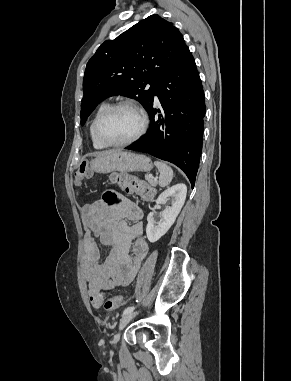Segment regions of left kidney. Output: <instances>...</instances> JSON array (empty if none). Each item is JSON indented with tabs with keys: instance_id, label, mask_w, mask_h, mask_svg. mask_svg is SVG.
<instances>
[{
	"instance_id": "1",
	"label": "left kidney",
	"mask_w": 291,
	"mask_h": 381,
	"mask_svg": "<svg viewBox=\"0 0 291 381\" xmlns=\"http://www.w3.org/2000/svg\"><path fill=\"white\" fill-rule=\"evenodd\" d=\"M187 187L183 183L176 184L163 191L157 198L156 204H161L170 199V205L160 214L159 222L154 221L153 213L147 216L146 234L150 242L158 241L170 229L176 220L186 199Z\"/></svg>"
}]
</instances>
